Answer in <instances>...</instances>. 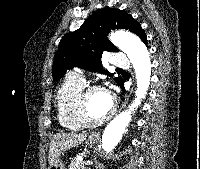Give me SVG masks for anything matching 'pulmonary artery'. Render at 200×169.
<instances>
[{"label":"pulmonary artery","instance_id":"e3ab8cb5","mask_svg":"<svg viewBox=\"0 0 200 169\" xmlns=\"http://www.w3.org/2000/svg\"><path fill=\"white\" fill-rule=\"evenodd\" d=\"M111 62L114 66H118V67L126 66L128 64L126 57L121 52H118V51L113 53ZM69 77H71L75 80H78L82 83H84V81H85L82 76L75 74V73H71Z\"/></svg>","mask_w":200,"mask_h":169}]
</instances>
